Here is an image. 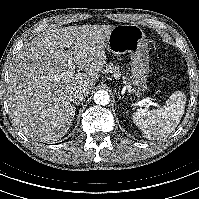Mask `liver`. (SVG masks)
<instances>
[{
	"mask_svg": "<svg viewBox=\"0 0 199 199\" xmlns=\"http://www.w3.org/2000/svg\"><path fill=\"white\" fill-rule=\"evenodd\" d=\"M114 27L49 29L24 45L7 81L8 106L20 131L44 142L67 133L75 114L70 91L81 87L89 95L106 66L105 41ZM69 57L84 72L69 76Z\"/></svg>",
	"mask_w": 199,
	"mask_h": 199,
	"instance_id": "obj_1",
	"label": "liver"
}]
</instances>
